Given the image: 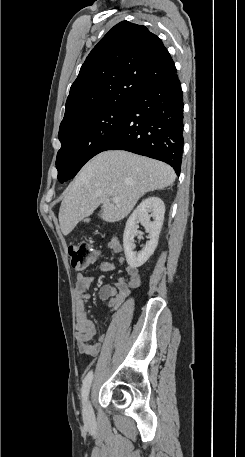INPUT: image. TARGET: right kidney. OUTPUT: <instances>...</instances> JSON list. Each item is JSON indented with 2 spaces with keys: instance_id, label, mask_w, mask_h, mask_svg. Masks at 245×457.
Here are the masks:
<instances>
[{
  "instance_id": "obj_1",
  "label": "right kidney",
  "mask_w": 245,
  "mask_h": 457,
  "mask_svg": "<svg viewBox=\"0 0 245 457\" xmlns=\"http://www.w3.org/2000/svg\"><path fill=\"white\" fill-rule=\"evenodd\" d=\"M150 212V214H149ZM165 204L159 196H149L138 204L137 208L130 214L123 235L124 253L129 267L136 269L141 267L149 257L153 255L157 245L164 220ZM153 220H150V218ZM138 222L145 226L146 233H149L145 247L139 253H135L134 237L138 235ZM143 235V233H139Z\"/></svg>"
}]
</instances>
